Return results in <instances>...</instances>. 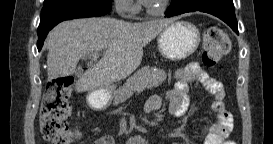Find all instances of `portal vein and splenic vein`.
Wrapping results in <instances>:
<instances>
[{"label":"portal vein and splenic vein","instance_id":"18ae733b","mask_svg":"<svg viewBox=\"0 0 273 144\" xmlns=\"http://www.w3.org/2000/svg\"><path fill=\"white\" fill-rule=\"evenodd\" d=\"M89 58L93 61H97V59L99 58L98 52H94V53L89 54Z\"/></svg>","mask_w":273,"mask_h":144}]
</instances>
